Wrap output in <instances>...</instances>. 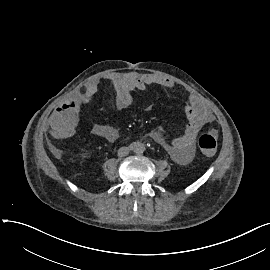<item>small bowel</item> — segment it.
Listing matches in <instances>:
<instances>
[{"label":"small bowel","mask_w":270,"mask_h":270,"mask_svg":"<svg viewBox=\"0 0 270 270\" xmlns=\"http://www.w3.org/2000/svg\"><path fill=\"white\" fill-rule=\"evenodd\" d=\"M105 80L113 86L116 93V105L120 110L133 105L132 93L136 90L145 91L148 86L152 85L165 89L175 87L171 79L153 73H111L105 77ZM99 84V81L93 80L75 99L60 103L56 108V114L51 115L45 121V132L50 136L58 135L62 139L71 138L80 128V121L77 116L81 107L93 99L99 89ZM151 109V106L147 107V110ZM184 111L187 125L181 136L168 141L161 130H155L150 134V137L160 144L171 158L179 164L191 161L195 153V140L198 133L215 120L212 112L195 95L188 97ZM91 133L108 142H115L120 137L119 128L113 125L95 124L91 128Z\"/></svg>","instance_id":"obj_1"}]
</instances>
